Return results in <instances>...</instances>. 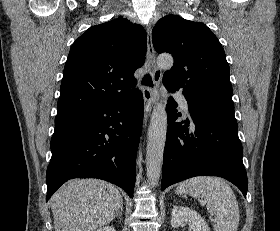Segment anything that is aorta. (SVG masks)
I'll return each instance as SVG.
<instances>
[{
	"label": "aorta",
	"mask_w": 280,
	"mask_h": 231,
	"mask_svg": "<svg viewBox=\"0 0 280 231\" xmlns=\"http://www.w3.org/2000/svg\"><path fill=\"white\" fill-rule=\"evenodd\" d=\"M158 68L169 70L173 66L170 54H161L157 58ZM167 114L164 104H157L150 119L146 151V169L148 181L154 187L161 175L163 153L166 141Z\"/></svg>",
	"instance_id": "1"
}]
</instances>
